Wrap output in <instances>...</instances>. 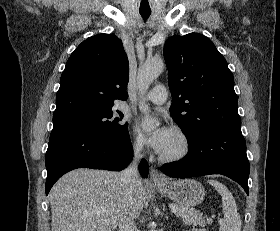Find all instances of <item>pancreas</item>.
Returning <instances> with one entry per match:
<instances>
[{
	"instance_id": "1",
	"label": "pancreas",
	"mask_w": 280,
	"mask_h": 231,
	"mask_svg": "<svg viewBox=\"0 0 280 231\" xmlns=\"http://www.w3.org/2000/svg\"><path fill=\"white\" fill-rule=\"evenodd\" d=\"M172 205H174V207H179L175 215L176 217H182L184 225H200V227H204V225L212 223L213 221L211 217H207V215H203V213L196 211V209H191V207L178 205V203H172Z\"/></svg>"
}]
</instances>
